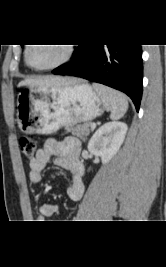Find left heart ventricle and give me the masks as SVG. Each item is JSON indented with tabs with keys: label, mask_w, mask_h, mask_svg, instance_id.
Instances as JSON below:
<instances>
[{
	"label": "left heart ventricle",
	"mask_w": 166,
	"mask_h": 267,
	"mask_svg": "<svg viewBox=\"0 0 166 267\" xmlns=\"http://www.w3.org/2000/svg\"><path fill=\"white\" fill-rule=\"evenodd\" d=\"M65 55L61 44H34L29 51V63L34 67H45L60 61Z\"/></svg>",
	"instance_id": "obj_1"
}]
</instances>
